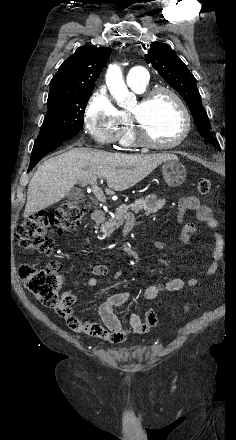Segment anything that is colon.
I'll use <instances>...</instances> for the list:
<instances>
[{"mask_svg":"<svg viewBox=\"0 0 236 440\" xmlns=\"http://www.w3.org/2000/svg\"><path fill=\"white\" fill-rule=\"evenodd\" d=\"M210 179L201 177L197 182L200 194H208L211 191ZM89 203L84 198L64 202L55 211H41L25 219L18 227L17 237L22 248L46 256L54 252L55 244L51 235L52 228L56 233L63 234L77 229L86 215ZM19 276L26 289L33 294L42 304L54 308L61 316L69 321H82L67 314L70 305L67 298L60 293L64 284V277L56 263H50L45 267H37L33 264H21ZM189 309H186L188 311ZM159 323L154 311H147L144 324L150 328Z\"/></svg>","mask_w":236,"mask_h":440,"instance_id":"obj_1","label":"colon"}]
</instances>
